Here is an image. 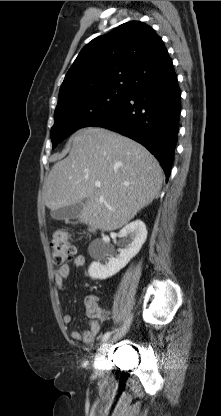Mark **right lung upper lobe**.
I'll return each mask as SVG.
<instances>
[{
    "mask_svg": "<svg viewBox=\"0 0 221 416\" xmlns=\"http://www.w3.org/2000/svg\"><path fill=\"white\" fill-rule=\"evenodd\" d=\"M172 70L162 39L149 25L131 21L81 50L60 87L57 106L103 90L131 91L166 78Z\"/></svg>",
    "mask_w": 221,
    "mask_h": 416,
    "instance_id": "obj_1",
    "label": "right lung upper lobe"
}]
</instances>
